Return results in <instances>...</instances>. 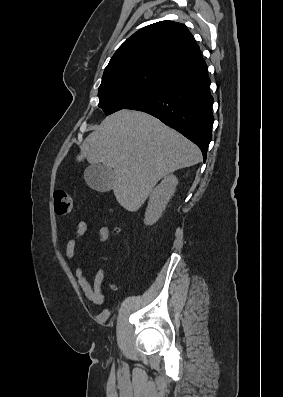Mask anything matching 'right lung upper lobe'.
I'll return each mask as SVG.
<instances>
[{"label": "right lung upper lobe", "instance_id": "1", "mask_svg": "<svg viewBox=\"0 0 283 397\" xmlns=\"http://www.w3.org/2000/svg\"><path fill=\"white\" fill-rule=\"evenodd\" d=\"M206 66L198 44L185 25L160 21L128 38L111 58L102 79L147 74L170 81Z\"/></svg>", "mask_w": 283, "mask_h": 397}]
</instances>
